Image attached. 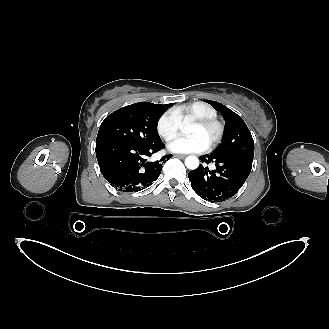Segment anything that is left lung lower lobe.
I'll return each mask as SVG.
<instances>
[{
    "instance_id": "obj_1",
    "label": "left lung lower lobe",
    "mask_w": 329,
    "mask_h": 329,
    "mask_svg": "<svg viewBox=\"0 0 329 329\" xmlns=\"http://www.w3.org/2000/svg\"><path fill=\"white\" fill-rule=\"evenodd\" d=\"M203 163L214 162L216 169L200 165L189 172L193 190L203 199L213 202L225 201L233 197L250 174L253 160L238 156L204 155Z\"/></svg>"
}]
</instances>
